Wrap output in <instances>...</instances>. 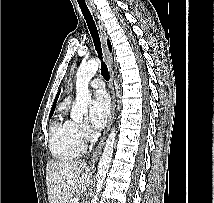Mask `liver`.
Listing matches in <instances>:
<instances>
[{
    "instance_id": "liver-1",
    "label": "liver",
    "mask_w": 214,
    "mask_h": 203,
    "mask_svg": "<svg viewBox=\"0 0 214 203\" xmlns=\"http://www.w3.org/2000/svg\"><path fill=\"white\" fill-rule=\"evenodd\" d=\"M72 183H69V182ZM91 171L84 160H51L46 167V184L49 203H67L76 194L87 190Z\"/></svg>"
}]
</instances>
